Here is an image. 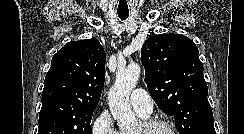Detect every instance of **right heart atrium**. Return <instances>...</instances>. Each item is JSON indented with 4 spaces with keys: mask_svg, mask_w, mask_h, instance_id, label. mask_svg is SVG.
<instances>
[{
    "mask_svg": "<svg viewBox=\"0 0 244 134\" xmlns=\"http://www.w3.org/2000/svg\"><path fill=\"white\" fill-rule=\"evenodd\" d=\"M91 134H120V131L116 129L111 114L104 110L93 121Z\"/></svg>",
    "mask_w": 244,
    "mask_h": 134,
    "instance_id": "d8ad5b80",
    "label": "right heart atrium"
}]
</instances>
